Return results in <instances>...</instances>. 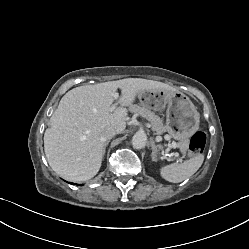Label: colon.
Segmentation results:
<instances>
[{"mask_svg": "<svg viewBox=\"0 0 249 249\" xmlns=\"http://www.w3.org/2000/svg\"><path fill=\"white\" fill-rule=\"evenodd\" d=\"M206 145V135L203 132L194 133L189 141V152L192 155H196L204 149Z\"/></svg>", "mask_w": 249, "mask_h": 249, "instance_id": "5ec220e1", "label": "colon"}]
</instances>
